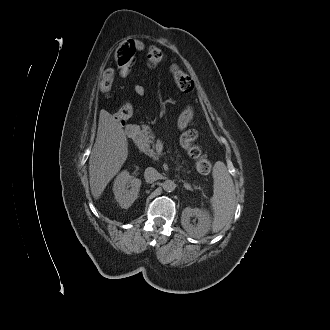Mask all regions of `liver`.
<instances>
[{
    "label": "liver",
    "instance_id": "1",
    "mask_svg": "<svg viewBox=\"0 0 330 330\" xmlns=\"http://www.w3.org/2000/svg\"><path fill=\"white\" fill-rule=\"evenodd\" d=\"M128 157V142L118 120L101 110L97 137L89 158L91 194L99 199Z\"/></svg>",
    "mask_w": 330,
    "mask_h": 330
}]
</instances>
